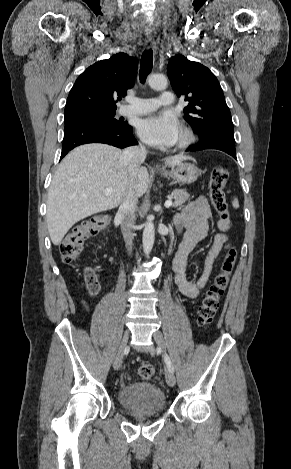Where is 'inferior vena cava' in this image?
Here are the masks:
<instances>
[{"label": "inferior vena cava", "instance_id": "obj_1", "mask_svg": "<svg viewBox=\"0 0 291 469\" xmlns=\"http://www.w3.org/2000/svg\"><path fill=\"white\" fill-rule=\"evenodd\" d=\"M147 155L145 146H131L123 151L122 159L128 168L135 175L138 167L144 162ZM138 198L135 193L130 191L121 203L117 212V217L121 220V231L124 241L128 247V251L132 249L133 233L132 228L135 223V211L137 208Z\"/></svg>", "mask_w": 291, "mask_h": 469}]
</instances>
